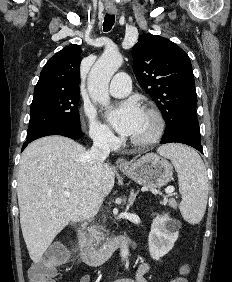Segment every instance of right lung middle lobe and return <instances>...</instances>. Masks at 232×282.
Listing matches in <instances>:
<instances>
[{"mask_svg": "<svg viewBox=\"0 0 232 282\" xmlns=\"http://www.w3.org/2000/svg\"><path fill=\"white\" fill-rule=\"evenodd\" d=\"M78 102L79 92L48 91L34 93L30 109L28 136L58 124L80 129Z\"/></svg>", "mask_w": 232, "mask_h": 282, "instance_id": "1", "label": "right lung middle lobe"}]
</instances>
